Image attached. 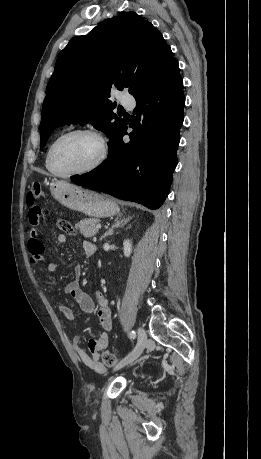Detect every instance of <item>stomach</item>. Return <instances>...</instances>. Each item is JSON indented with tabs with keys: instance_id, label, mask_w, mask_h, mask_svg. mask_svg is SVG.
<instances>
[{
	"instance_id": "0dacf381",
	"label": "stomach",
	"mask_w": 261,
	"mask_h": 459,
	"mask_svg": "<svg viewBox=\"0 0 261 459\" xmlns=\"http://www.w3.org/2000/svg\"><path fill=\"white\" fill-rule=\"evenodd\" d=\"M50 190L60 204L90 217H111L119 212V206L114 200L65 181L51 183Z\"/></svg>"
}]
</instances>
